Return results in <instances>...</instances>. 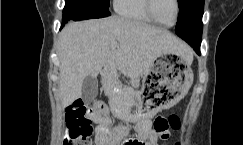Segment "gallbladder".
Wrapping results in <instances>:
<instances>
[{
  "mask_svg": "<svg viewBox=\"0 0 243 145\" xmlns=\"http://www.w3.org/2000/svg\"><path fill=\"white\" fill-rule=\"evenodd\" d=\"M98 94V80L96 77L87 76L82 83V99L90 104Z\"/></svg>",
  "mask_w": 243,
  "mask_h": 145,
  "instance_id": "gallbladder-1",
  "label": "gallbladder"
}]
</instances>
